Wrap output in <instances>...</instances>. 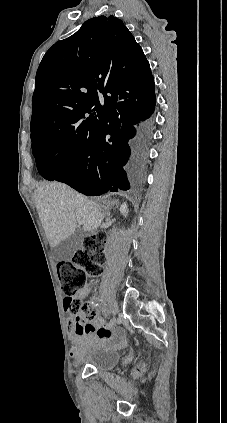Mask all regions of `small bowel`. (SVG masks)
<instances>
[{
  "mask_svg": "<svg viewBox=\"0 0 227 423\" xmlns=\"http://www.w3.org/2000/svg\"><path fill=\"white\" fill-rule=\"evenodd\" d=\"M85 289L82 293H86ZM94 313V311H93ZM70 337L72 345L70 355L74 358L82 356L85 352L101 347H121L125 343L124 333L120 328H111L104 325L103 320L94 313L91 320L70 318Z\"/></svg>",
  "mask_w": 227,
  "mask_h": 423,
  "instance_id": "small-bowel-1",
  "label": "small bowel"
}]
</instances>
